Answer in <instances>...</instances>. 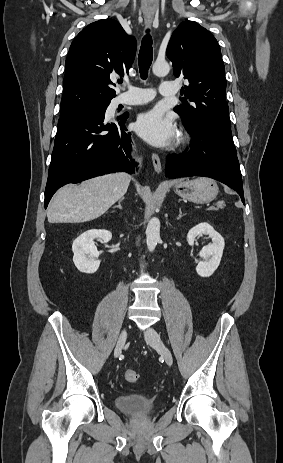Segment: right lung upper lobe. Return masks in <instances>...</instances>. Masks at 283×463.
<instances>
[{
    "label": "right lung upper lobe",
    "instance_id": "cb5924a9",
    "mask_svg": "<svg viewBox=\"0 0 283 463\" xmlns=\"http://www.w3.org/2000/svg\"><path fill=\"white\" fill-rule=\"evenodd\" d=\"M136 39L119 22L102 19L85 27L73 40L65 62L60 111L116 96L110 77L128 74Z\"/></svg>",
    "mask_w": 283,
    "mask_h": 463
}]
</instances>
